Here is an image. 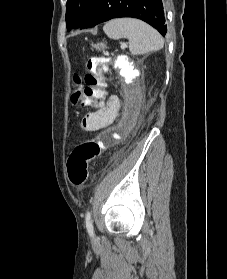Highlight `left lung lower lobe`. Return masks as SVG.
<instances>
[{"label":"left lung lower lobe","mask_w":227,"mask_h":279,"mask_svg":"<svg viewBox=\"0 0 227 279\" xmlns=\"http://www.w3.org/2000/svg\"><path fill=\"white\" fill-rule=\"evenodd\" d=\"M119 17L141 19L163 36L167 32L161 0H94L80 28L93 27Z\"/></svg>","instance_id":"obj_1"}]
</instances>
